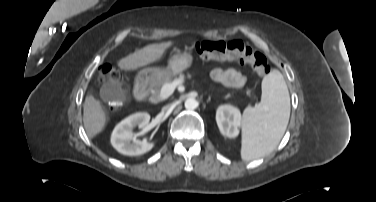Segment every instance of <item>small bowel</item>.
<instances>
[{
    "label": "small bowel",
    "instance_id": "1",
    "mask_svg": "<svg viewBox=\"0 0 376 202\" xmlns=\"http://www.w3.org/2000/svg\"><path fill=\"white\" fill-rule=\"evenodd\" d=\"M211 77L214 81L230 87L242 86L246 81V77L234 69L216 68L212 71Z\"/></svg>",
    "mask_w": 376,
    "mask_h": 202
}]
</instances>
